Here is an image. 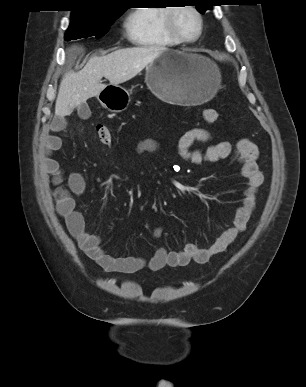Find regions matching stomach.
<instances>
[{
    "mask_svg": "<svg viewBox=\"0 0 306 387\" xmlns=\"http://www.w3.org/2000/svg\"><path fill=\"white\" fill-rule=\"evenodd\" d=\"M145 81L149 89L169 108L200 105L216 94L221 73L210 59L171 47L146 67ZM101 105L112 111L125 110L129 92L120 85H109L98 96Z\"/></svg>",
    "mask_w": 306,
    "mask_h": 387,
    "instance_id": "stomach-1",
    "label": "stomach"
}]
</instances>
